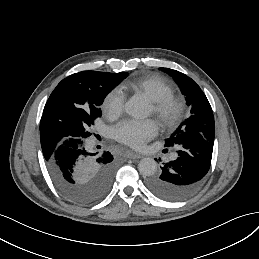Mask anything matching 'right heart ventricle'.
<instances>
[{
  "instance_id": "1",
  "label": "right heart ventricle",
  "mask_w": 259,
  "mask_h": 259,
  "mask_svg": "<svg viewBox=\"0 0 259 259\" xmlns=\"http://www.w3.org/2000/svg\"><path fill=\"white\" fill-rule=\"evenodd\" d=\"M117 90L123 96L144 93L151 101H158L173 95L172 86L157 77H132L118 85Z\"/></svg>"
}]
</instances>
